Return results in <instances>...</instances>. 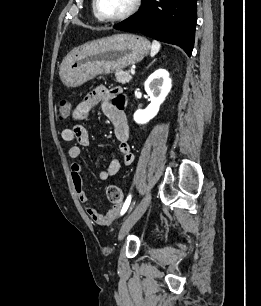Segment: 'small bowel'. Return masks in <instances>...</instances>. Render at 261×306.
<instances>
[{"mask_svg": "<svg viewBox=\"0 0 261 306\" xmlns=\"http://www.w3.org/2000/svg\"><path fill=\"white\" fill-rule=\"evenodd\" d=\"M125 97L121 88L115 87L108 89L106 87H97L83 98L71 112V120L74 125L71 128H65L61 132V138L66 142H77V145L68 149V156L72 159L79 158L82 154L81 147L89 145V134L87 129L80 124L98 107L101 108L104 115L111 121L114 127L115 138L119 142V152L121 161L112 159L106 169L98 170L100 180H107L114 176L120 170L121 165L129 166L134 160V155L129 145V125L124 111ZM71 178L79 200L84 204L85 210L90 218L100 226L111 225L119 215L121 205H115L106 213L97 211L89 202L85 192L81 177V166L74 162L70 166Z\"/></svg>", "mask_w": 261, "mask_h": 306, "instance_id": "obj_1", "label": "small bowel"}]
</instances>
